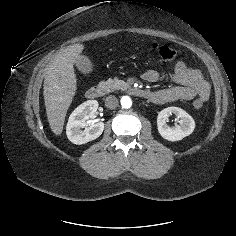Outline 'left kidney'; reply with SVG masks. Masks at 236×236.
<instances>
[{"label": "left kidney", "mask_w": 236, "mask_h": 236, "mask_svg": "<svg viewBox=\"0 0 236 236\" xmlns=\"http://www.w3.org/2000/svg\"><path fill=\"white\" fill-rule=\"evenodd\" d=\"M171 114L180 119V124L175 126L167 125V117ZM159 134L168 141H179L189 136L195 129L194 119L184 110L178 107H168L159 112L157 117Z\"/></svg>", "instance_id": "5707ae66"}]
</instances>
